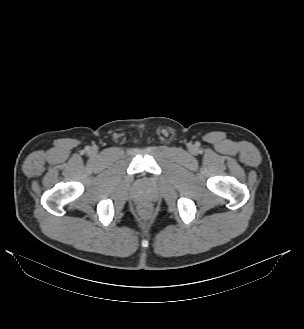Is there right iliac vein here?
I'll use <instances>...</instances> for the list:
<instances>
[{"label":"right iliac vein","instance_id":"right-iliac-vein-1","mask_svg":"<svg viewBox=\"0 0 304 329\" xmlns=\"http://www.w3.org/2000/svg\"><path fill=\"white\" fill-rule=\"evenodd\" d=\"M91 154H92V155L96 154V150H95V149H92V150H91Z\"/></svg>","mask_w":304,"mask_h":329}]
</instances>
